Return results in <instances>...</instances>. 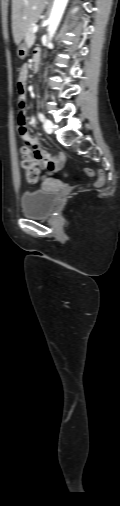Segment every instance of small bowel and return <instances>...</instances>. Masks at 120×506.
Wrapping results in <instances>:
<instances>
[{"instance_id":"c3829d8e","label":"small bowel","mask_w":120,"mask_h":506,"mask_svg":"<svg viewBox=\"0 0 120 506\" xmlns=\"http://www.w3.org/2000/svg\"><path fill=\"white\" fill-rule=\"evenodd\" d=\"M38 51H36L34 54H36ZM28 75V67L27 65H24L21 68L20 74H19V81H21L24 85L25 80ZM25 138H28L32 145L35 146V148L41 153V157L38 160V165L43 168L47 169L49 171H57L62 168L63 162H64V155L63 154H57L55 157H52L49 155L46 151L39 148V141L38 138L35 136L33 138H30L27 133L21 134Z\"/></svg>"}]
</instances>
